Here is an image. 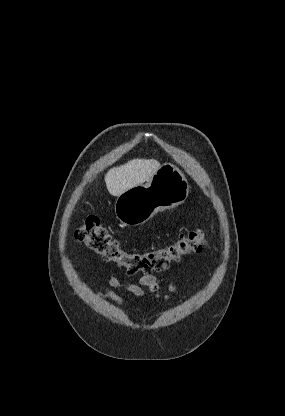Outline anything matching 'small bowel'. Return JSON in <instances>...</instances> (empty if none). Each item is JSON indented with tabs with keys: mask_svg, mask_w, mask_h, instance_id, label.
Masks as SVG:
<instances>
[{
	"mask_svg": "<svg viewBox=\"0 0 285 416\" xmlns=\"http://www.w3.org/2000/svg\"><path fill=\"white\" fill-rule=\"evenodd\" d=\"M112 288H120L129 291L137 297H145L150 295L154 299L169 298L168 295H163L160 291L159 283L152 275L142 276L137 283H132L128 280H119L114 276H110L107 280V284L101 289L96 290L97 297L103 302H113L117 305H123V299L112 291ZM169 292L175 293L178 290V286L172 283L168 287Z\"/></svg>",
	"mask_w": 285,
	"mask_h": 416,
	"instance_id": "small-bowel-1",
	"label": "small bowel"
}]
</instances>
